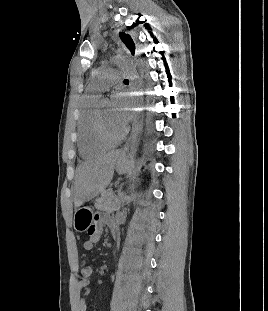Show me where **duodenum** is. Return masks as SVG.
<instances>
[{
    "label": "duodenum",
    "mask_w": 268,
    "mask_h": 311,
    "mask_svg": "<svg viewBox=\"0 0 268 311\" xmlns=\"http://www.w3.org/2000/svg\"><path fill=\"white\" fill-rule=\"evenodd\" d=\"M113 237L116 238L117 237V233L116 231H112Z\"/></svg>",
    "instance_id": "410a0bca"
}]
</instances>
